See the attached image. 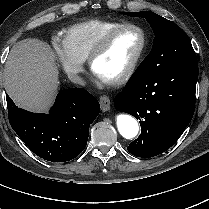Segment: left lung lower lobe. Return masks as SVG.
<instances>
[{
  "mask_svg": "<svg viewBox=\"0 0 209 209\" xmlns=\"http://www.w3.org/2000/svg\"><path fill=\"white\" fill-rule=\"evenodd\" d=\"M197 79V59L159 74L135 71L114 100L118 111L140 120L142 132L127 147L131 154L154 157L175 144L193 117Z\"/></svg>",
  "mask_w": 209,
  "mask_h": 209,
  "instance_id": "left-lung-lower-lobe-1",
  "label": "left lung lower lobe"
}]
</instances>
